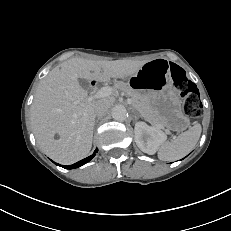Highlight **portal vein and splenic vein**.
<instances>
[{
    "instance_id": "18ae733b",
    "label": "portal vein and splenic vein",
    "mask_w": 231,
    "mask_h": 231,
    "mask_svg": "<svg viewBox=\"0 0 231 231\" xmlns=\"http://www.w3.org/2000/svg\"><path fill=\"white\" fill-rule=\"evenodd\" d=\"M113 93V89L111 87H102L98 90L93 96L88 97L85 101H93L94 99L104 98L110 96ZM128 103L131 104V99H128Z\"/></svg>"
}]
</instances>
